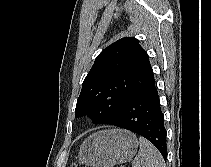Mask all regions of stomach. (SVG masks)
<instances>
[{
  "instance_id": "0dacf381",
  "label": "stomach",
  "mask_w": 211,
  "mask_h": 167,
  "mask_svg": "<svg viewBox=\"0 0 211 167\" xmlns=\"http://www.w3.org/2000/svg\"><path fill=\"white\" fill-rule=\"evenodd\" d=\"M138 149L136 136L126 130L113 129L90 135L80 146L79 164L90 167H114L130 161Z\"/></svg>"
}]
</instances>
